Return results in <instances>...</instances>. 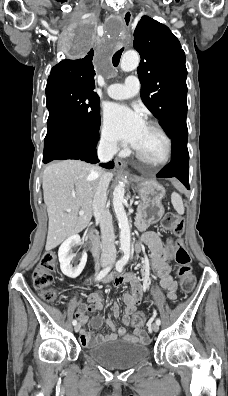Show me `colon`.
Instances as JSON below:
<instances>
[{
  "mask_svg": "<svg viewBox=\"0 0 228 396\" xmlns=\"http://www.w3.org/2000/svg\"><path fill=\"white\" fill-rule=\"evenodd\" d=\"M163 227L174 233L178 240L174 245V259L178 265V276L183 291L189 292L195 285V276L192 272L191 255L185 248L181 239L184 231L183 219L180 215L169 213L162 220ZM57 266V257L53 252H46L42 255L39 263L35 267L32 275L34 287L40 291L42 298L47 302H55L57 293L52 287L53 271ZM144 315L136 313L132 316V325L143 328Z\"/></svg>",
  "mask_w": 228,
  "mask_h": 396,
  "instance_id": "5ec220e1",
  "label": "colon"
}]
</instances>
